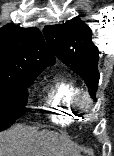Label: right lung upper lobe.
<instances>
[{
  "label": "right lung upper lobe",
  "mask_w": 114,
  "mask_h": 156,
  "mask_svg": "<svg viewBox=\"0 0 114 156\" xmlns=\"http://www.w3.org/2000/svg\"><path fill=\"white\" fill-rule=\"evenodd\" d=\"M55 63L41 32L7 24L0 29V74L39 75Z\"/></svg>",
  "instance_id": "obj_1"
}]
</instances>
